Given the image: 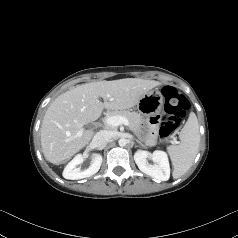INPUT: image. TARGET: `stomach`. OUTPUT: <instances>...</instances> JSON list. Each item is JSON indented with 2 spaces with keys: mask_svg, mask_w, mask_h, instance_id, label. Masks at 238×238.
Wrapping results in <instances>:
<instances>
[{
  "mask_svg": "<svg viewBox=\"0 0 238 238\" xmlns=\"http://www.w3.org/2000/svg\"><path fill=\"white\" fill-rule=\"evenodd\" d=\"M164 100L162 94L157 91H148L141 97L137 103V109L144 116H151L153 113H159L163 107Z\"/></svg>",
  "mask_w": 238,
  "mask_h": 238,
  "instance_id": "stomach-1",
  "label": "stomach"
}]
</instances>
